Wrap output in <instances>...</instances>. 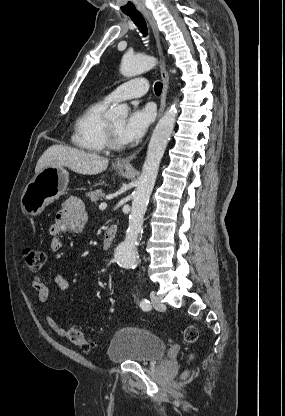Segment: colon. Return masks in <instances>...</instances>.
Instances as JSON below:
<instances>
[{
    "label": "colon",
    "mask_w": 285,
    "mask_h": 416,
    "mask_svg": "<svg viewBox=\"0 0 285 416\" xmlns=\"http://www.w3.org/2000/svg\"><path fill=\"white\" fill-rule=\"evenodd\" d=\"M23 259L31 273H38L46 263L47 255L40 249L26 247L23 250ZM66 337L72 344L80 348L82 351L90 352L95 347L94 342L88 339L82 330L78 327H70L67 330ZM184 338L185 341L190 345L196 342L198 338L197 328L194 326L186 327L184 330Z\"/></svg>",
    "instance_id": "colon-1"
}]
</instances>
